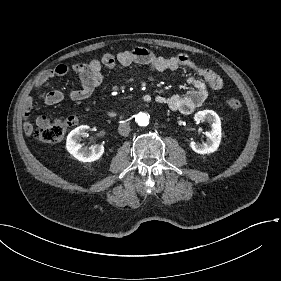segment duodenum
I'll return each mask as SVG.
<instances>
[{
  "label": "duodenum",
  "mask_w": 281,
  "mask_h": 281,
  "mask_svg": "<svg viewBox=\"0 0 281 281\" xmlns=\"http://www.w3.org/2000/svg\"><path fill=\"white\" fill-rule=\"evenodd\" d=\"M142 100H143L144 102L150 101V100H151V95H150V94H146V95L142 98ZM109 115H110V116H114V114H112V113H110Z\"/></svg>",
  "instance_id": "duodenum-1"
}]
</instances>
